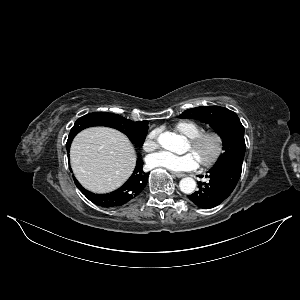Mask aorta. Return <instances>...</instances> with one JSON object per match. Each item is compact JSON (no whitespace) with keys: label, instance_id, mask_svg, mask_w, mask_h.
Instances as JSON below:
<instances>
[{"label":"aorta","instance_id":"aorta-1","mask_svg":"<svg viewBox=\"0 0 300 300\" xmlns=\"http://www.w3.org/2000/svg\"><path fill=\"white\" fill-rule=\"evenodd\" d=\"M158 142L164 149L179 154L181 153L184 141L183 138L179 135L170 132H164L158 137ZM179 187L183 193L192 194L196 188V182L191 177H185L181 179Z\"/></svg>","mask_w":300,"mask_h":300}]
</instances>
